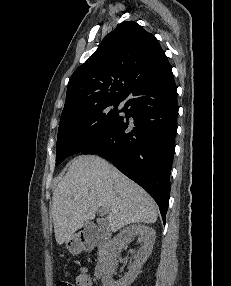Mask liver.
I'll return each mask as SVG.
<instances>
[{"instance_id": "obj_1", "label": "liver", "mask_w": 231, "mask_h": 286, "mask_svg": "<svg viewBox=\"0 0 231 286\" xmlns=\"http://www.w3.org/2000/svg\"><path fill=\"white\" fill-rule=\"evenodd\" d=\"M104 208L112 232L132 223H154L158 208L138 184L104 159L94 155L74 158L53 191L55 238L62 245Z\"/></svg>"}]
</instances>
